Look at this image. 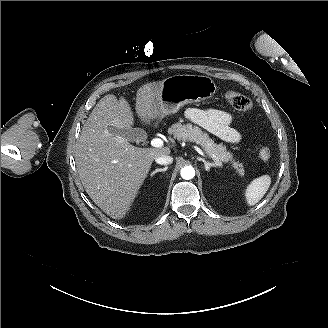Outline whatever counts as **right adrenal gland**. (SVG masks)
I'll use <instances>...</instances> for the list:
<instances>
[{
	"instance_id": "1",
	"label": "right adrenal gland",
	"mask_w": 328,
	"mask_h": 328,
	"mask_svg": "<svg viewBox=\"0 0 328 328\" xmlns=\"http://www.w3.org/2000/svg\"><path fill=\"white\" fill-rule=\"evenodd\" d=\"M168 169V166L164 167V168H159V169H156L152 174H151V177L154 176L155 174H157L158 172H164Z\"/></svg>"
}]
</instances>
